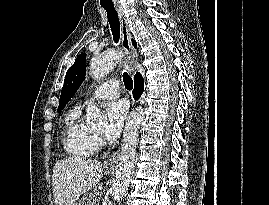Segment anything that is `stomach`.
Returning a JSON list of instances; mask_svg holds the SVG:
<instances>
[{
  "instance_id": "stomach-1",
  "label": "stomach",
  "mask_w": 269,
  "mask_h": 205,
  "mask_svg": "<svg viewBox=\"0 0 269 205\" xmlns=\"http://www.w3.org/2000/svg\"><path fill=\"white\" fill-rule=\"evenodd\" d=\"M75 205H90L88 200H81L80 202L76 203Z\"/></svg>"
}]
</instances>
